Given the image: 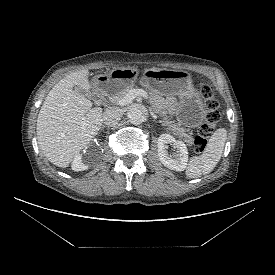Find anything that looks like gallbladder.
Here are the masks:
<instances>
[{
    "label": "gallbladder",
    "mask_w": 275,
    "mask_h": 275,
    "mask_svg": "<svg viewBox=\"0 0 275 275\" xmlns=\"http://www.w3.org/2000/svg\"><path fill=\"white\" fill-rule=\"evenodd\" d=\"M73 90H74L75 92H77V93L83 95V96L90 97L88 91H86V90L80 88L79 86H75V87L73 88Z\"/></svg>",
    "instance_id": "obj_1"
}]
</instances>
